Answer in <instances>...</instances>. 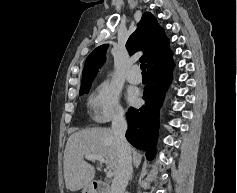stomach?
Segmentation results:
<instances>
[{"label": "stomach", "instance_id": "1", "mask_svg": "<svg viewBox=\"0 0 237 193\" xmlns=\"http://www.w3.org/2000/svg\"><path fill=\"white\" fill-rule=\"evenodd\" d=\"M82 193H94V190H93L91 184L84 187Z\"/></svg>", "mask_w": 237, "mask_h": 193}]
</instances>
